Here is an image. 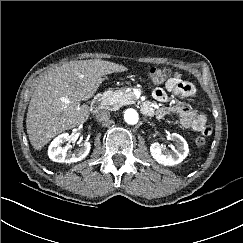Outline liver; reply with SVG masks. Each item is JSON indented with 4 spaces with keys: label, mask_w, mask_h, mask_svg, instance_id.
Masks as SVG:
<instances>
[{
    "label": "liver",
    "mask_w": 243,
    "mask_h": 243,
    "mask_svg": "<svg viewBox=\"0 0 243 243\" xmlns=\"http://www.w3.org/2000/svg\"><path fill=\"white\" fill-rule=\"evenodd\" d=\"M126 69L110 61L90 59L49 70L39 80L28 107L26 128L33 148L41 150L59 133L86 122L89 106L80 105V101L95 94L105 75Z\"/></svg>",
    "instance_id": "1"
}]
</instances>
